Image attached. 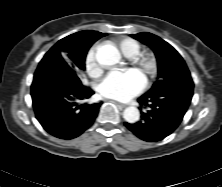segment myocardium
<instances>
[{
	"label": "myocardium",
	"instance_id": "f54148a6",
	"mask_svg": "<svg viewBox=\"0 0 222 187\" xmlns=\"http://www.w3.org/2000/svg\"><path fill=\"white\" fill-rule=\"evenodd\" d=\"M133 63L143 72L147 79H152L158 72V59L153 53H142L132 59Z\"/></svg>",
	"mask_w": 222,
	"mask_h": 187
}]
</instances>
